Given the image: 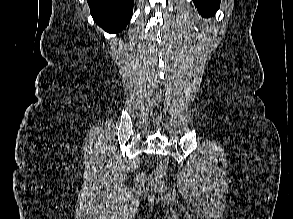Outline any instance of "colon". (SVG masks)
<instances>
[{"mask_svg": "<svg viewBox=\"0 0 293 219\" xmlns=\"http://www.w3.org/2000/svg\"><path fill=\"white\" fill-rule=\"evenodd\" d=\"M166 171V166L160 165L154 170L153 174L150 176L143 172L139 173L136 177L137 187L142 188L149 178H162L163 176H165Z\"/></svg>", "mask_w": 293, "mask_h": 219, "instance_id": "1", "label": "colon"}]
</instances>
